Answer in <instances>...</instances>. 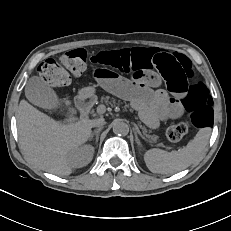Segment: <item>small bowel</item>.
<instances>
[{
	"instance_id": "small-bowel-1",
	"label": "small bowel",
	"mask_w": 231,
	"mask_h": 231,
	"mask_svg": "<svg viewBox=\"0 0 231 231\" xmlns=\"http://www.w3.org/2000/svg\"><path fill=\"white\" fill-rule=\"evenodd\" d=\"M94 76L101 88L129 100L151 123L159 119H175L183 114L182 106L176 98L170 97L163 89H151L158 85L155 74H149V79H127L107 68H97Z\"/></svg>"
}]
</instances>
